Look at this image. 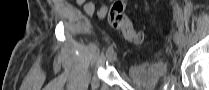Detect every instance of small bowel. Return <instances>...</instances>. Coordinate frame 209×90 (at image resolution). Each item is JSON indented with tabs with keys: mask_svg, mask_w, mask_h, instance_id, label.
Masks as SVG:
<instances>
[{
	"mask_svg": "<svg viewBox=\"0 0 209 90\" xmlns=\"http://www.w3.org/2000/svg\"><path fill=\"white\" fill-rule=\"evenodd\" d=\"M84 11L88 15H92L95 11V4L92 1L87 2L84 5ZM108 13V7L106 5H103L98 11H97V17L100 19H103L106 17Z\"/></svg>",
	"mask_w": 209,
	"mask_h": 90,
	"instance_id": "obj_1",
	"label": "small bowel"
}]
</instances>
